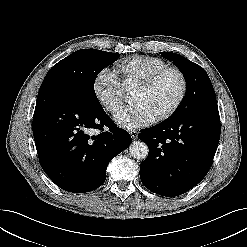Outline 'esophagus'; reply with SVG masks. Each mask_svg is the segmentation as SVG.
<instances>
[{
    "label": "esophagus",
    "instance_id": "obj_1",
    "mask_svg": "<svg viewBox=\"0 0 247 247\" xmlns=\"http://www.w3.org/2000/svg\"><path fill=\"white\" fill-rule=\"evenodd\" d=\"M129 133H130L132 139H134V140L137 139V137H138V131L137 130H130Z\"/></svg>",
    "mask_w": 247,
    "mask_h": 247
}]
</instances>
